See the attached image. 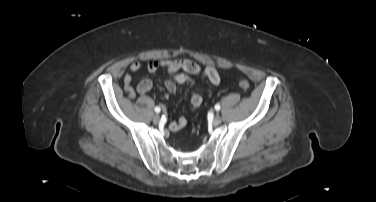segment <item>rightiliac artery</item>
<instances>
[{
  "label": "right iliac artery",
  "instance_id": "right-iliac-artery-1",
  "mask_svg": "<svg viewBox=\"0 0 376 202\" xmlns=\"http://www.w3.org/2000/svg\"><path fill=\"white\" fill-rule=\"evenodd\" d=\"M154 110H155V112H156V113H159V112L161 111V109H160V108H159L158 106H157V107H155V109H154Z\"/></svg>",
  "mask_w": 376,
  "mask_h": 202
}]
</instances>
